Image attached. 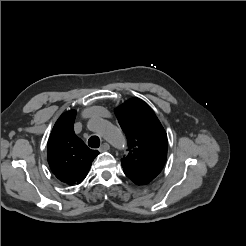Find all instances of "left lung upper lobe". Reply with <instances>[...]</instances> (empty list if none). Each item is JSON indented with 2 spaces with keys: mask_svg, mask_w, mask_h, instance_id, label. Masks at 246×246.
<instances>
[{
  "mask_svg": "<svg viewBox=\"0 0 246 246\" xmlns=\"http://www.w3.org/2000/svg\"><path fill=\"white\" fill-rule=\"evenodd\" d=\"M124 131L128 155L121 159L126 176L149 183L162 170L167 157V134L152 109L132 98L115 109Z\"/></svg>",
  "mask_w": 246,
  "mask_h": 246,
  "instance_id": "obj_1",
  "label": "left lung upper lobe"
}]
</instances>
